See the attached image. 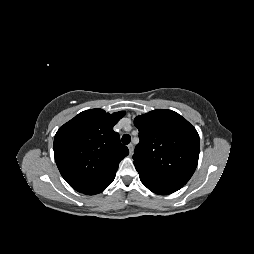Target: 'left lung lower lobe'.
<instances>
[{"mask_svg": "<svg viewBox=\"0 0 254 254\" xmlns=\"http://www.w3.org/2000/svg\"><path fill=\"white\" fill-rule=\"evenodd\" d=\"M139 177L141 182L152 192L160 195H167L171 194L180 188H182L184 185L169 182L165 180L155 179L149 176H146L144 174L139 173Z\"/></svg>", "mask_w": 254, "mask_h": 254, "instance_id": "0a47b994", "label": "left lung lower lobe"}]
</instances>
